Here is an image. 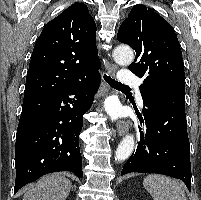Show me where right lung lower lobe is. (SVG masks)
Wrapping results in <instances>:
<instances>
[{"mask_svg": "<svg viewBox=\"0 0 201 200\" xmlns=\"http://www.w3.org/2000/svg\"><path fill=\"white\" fill-rule=\"evenodd\" d=\"M98 82L99 74L93 72L61 91L24 99L16 134L14 193L47 173L70 171L82 178L79 134Z\"/></svg>", "mask_w": 201, "mask_h": 200, "instance_id": "obj_1", "label": "right lung lower lobe"}]
</instances>
